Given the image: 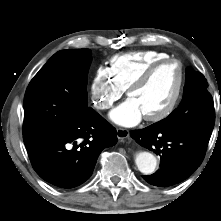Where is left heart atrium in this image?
Masks as SVG:
<instances>
[{"label": "left heart atrium", "mask_w": 221, "mask_h": 221, "mask_svg": "<svg viewBox=\"0 0 221 221\" xmlns=\"http://www.w3.org/2000/svg\"><path fill=\"white\" fill-rule=\"evenodd\" d=\"M143 112L136 100L128 98L118 107H116L110 114L113 122L121 126H134L143 118Z\"/></svg>", "instance_id": "39dd6f15"}]
</instances>
